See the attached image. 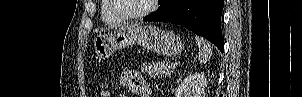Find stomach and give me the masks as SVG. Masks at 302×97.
I'll return each instance as SVG.
<instances>
[{
    "mask_svg": "<svg viewBox=\"0 0 302 97\" xmlns=\"http://www.w3.org/2000/svg\"><path fill=\"white\" fill-rule=\"evenodd\" d=\"M93 44L99 60L109 58L116 49L135 44L168 57L180 54L185 48L184 42L175 33L152 25H129L111 34L97 35Z\"/></svg>",
    "mask_w": 302,
    "mask_h": 97,
    "instance_id": "1",
    "label": "stomach"
}]
</instances>
